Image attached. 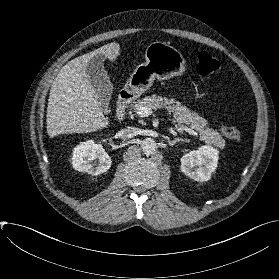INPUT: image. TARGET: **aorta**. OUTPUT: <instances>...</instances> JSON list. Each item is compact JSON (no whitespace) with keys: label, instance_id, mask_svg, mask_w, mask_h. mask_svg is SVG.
<instances>
[{"label":"aorta","instance_id":"obj_1","mask_svg":"<svg viewBox=\"0 0 279 279\" xmlns=\"http://www.w3.org/2000/svg\"><path fill=\"white\" fill-rule=\"evenodd\" d=\"M141 148L145 154L150 155L156 150L157 145L152 138H146L142 141Z\"/></svg>","mask_w":279,"mask_h":279}]
</instances>
